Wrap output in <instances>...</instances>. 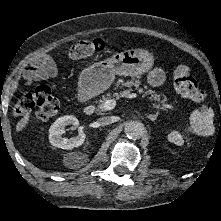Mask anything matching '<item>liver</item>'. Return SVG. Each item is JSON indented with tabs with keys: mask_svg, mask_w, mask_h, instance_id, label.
Segmentation results:
<instances>
[{
	"mask_svg": "<svg viewBox=\"0 0 221 221\" xmlns=\"http://www.w3.org/2000/svg\"><path fill=\"white\" fill-rule=\"evenodd\" d=\"M30 120V116L29 115H25L17 124L16 126V131L19 132L21 130H23V128H25L28 124Z\"/></svg>",
	"mask_w": 221,
	"mask_h": 221,
	"instance_id": "obj_1",
	"label": "liver"
}]
</instances>
